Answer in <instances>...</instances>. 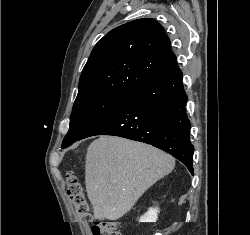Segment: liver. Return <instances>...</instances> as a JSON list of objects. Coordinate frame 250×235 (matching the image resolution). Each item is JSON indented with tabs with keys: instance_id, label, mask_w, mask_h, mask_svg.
Here are the masks:
<instances>
[{
	"instance_id": "obj_1",
	"label": "liver",
	"mask_w": 250,
	"mask_h": 235,
	"mask_svg": "<svg viewBox=\"0 0 250 235\" xmlns=\"http://www.w3.org/2000/svg\"><path fill=\"white\" fill-rule=\"evenodd\" d=\"M174 166L172 156L144 143L114 136L94 140L86 154L85 183L95 219L121 218Z\"/></svg>"
}]
</instances>
